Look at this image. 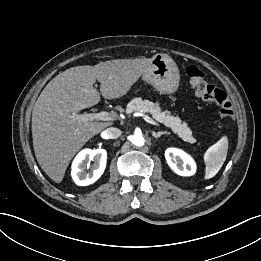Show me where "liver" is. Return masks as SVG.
<instances>
[{"label":"liver","instance_id":"liver-1","mask_svg":"<svg viewBox=\"0 0 261 261\" xmlns=\"http://www.w3.org/2000/svg\"><path fill=\"white\" fill-rule=\"evenodd\" d=\"M152 58L115 59L65 70L43 89L32 111V138L37 162L54 182H62L73 156L110 122L74 121L70 116L105 99L127 94L148 70ZM100 82V92L93 87ZM122 111L121 106H117Z\"/></svg>","mask_w":261,"mask_h":261}]
</instances>
